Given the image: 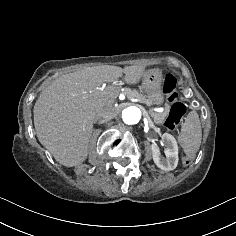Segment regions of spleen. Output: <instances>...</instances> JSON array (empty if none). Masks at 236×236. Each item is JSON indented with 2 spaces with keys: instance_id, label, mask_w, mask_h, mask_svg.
<instances>
[{
  "instance_id": "obj_1",
  "label": "spleen",
  "mask_w": 236,
  "mask_h": 236,
  "mask_svg": "<svg viewBox=\"0 0 236 236\" xmlns=\"http://www.w3.org/2000/svg\"><path fill=\"white\" fill-rule=\"evenodd\" d=\"M202 131L199 116L196 111H191L182 124L178 142L187 156H194L201 143Z\"/></svg>"
}]
</instances>
